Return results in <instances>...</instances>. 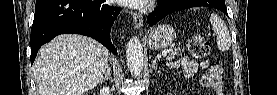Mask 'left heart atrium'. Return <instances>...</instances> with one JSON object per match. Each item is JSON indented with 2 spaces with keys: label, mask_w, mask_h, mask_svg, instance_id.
Wrapping results in <instances>:
<instances>
[{
  "label": "left heart atrium",
  "mask_w": 277,
  "mask_h": 95,
  "mask_svg": "<svg viewBox=\"0 0 277 95\" xmlns=\"http://www.w3.org/2000/svg\"><path fill=\"white\" fill-rule=\"evenodd\" d=\"M120 3L132 8H141L144 5L150 3V0H120Z\"/></svg>",
  "instance_id": "obj_1"
}]
</instances>
